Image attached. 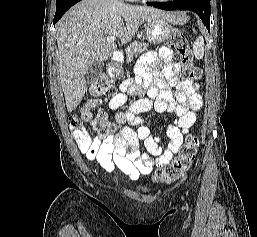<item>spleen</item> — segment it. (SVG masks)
<instances>
[{"instance_id": "obj_1", "label": "spleen", "mask_w": 257, "mask_h": 237, "mask_svg": "<svg viewBox=\"0 0 257 237\" xmlns=\"http://www.w3.org/2000/svg\"><path fill=\"white\" fill-rule=\"evenodd\" d=\"M195 32V30H194ZM193 52L196 59H202L204 55V39L202 36L198 37L193 44Z\"/></svg>"}]
</instances>
